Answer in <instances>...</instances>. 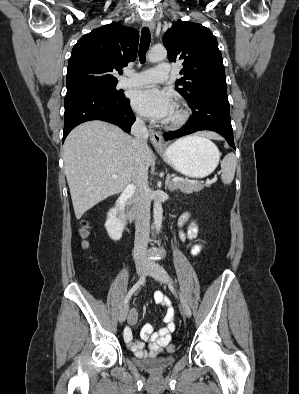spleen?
I'll list each match as a JSON object with an SVG mask.
<instances>
[{"mask_svg": "<svg viewBox=\"0 0 299 394\" xmlns=\"http://www.w3.org/2000/svg\"><path fill=\"white\" fill-rule=\"evenodd\" d=\"M205 140L210 141L208 139ZM236 164L237 160L234 153H228L221 161V180L225 185L232 183L235 176Z\"/></svg>", "mask_w": 299, "mask_h": 394, "instance_id": "3e777b00", "label": "spleen"}]
</instances>
